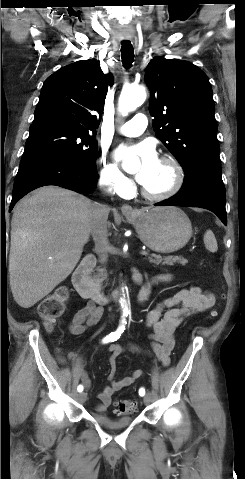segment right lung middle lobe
<instances>
[{
  "label": "right lung middle lobe",
  "mask_w": 245,
  "mask_h": 479,
  "mask_svg": "<svg viewBox=\"0 0 245 479\" xmlns=\"http://www.w3.org/2000/svg\"><path fill=\"white\" fill-rule=\"evenodd\" d=\"M93 132V131H92ZM95 132L64 125L30 127L20 165L35 160L59 158L96 169Z\"/></svg>",
  "instance_id": "dd1d6c3e"
}]
</instances>
